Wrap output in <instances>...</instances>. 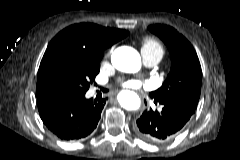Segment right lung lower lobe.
Here are the masks:
<instances>
[{
	"label": "right lung lower lobe",
	"instance_id": "right-lung-lower-lobe-1",
	"mask_svg": "<svg viewBox=\"0 0 240 160\" xmlns=\"http://www.w3.org/2000/svg\"><path fill=\"white\" fill-rule=\"evenodd\" d=\"M105 103V99H86L85 95H51L37 102L43 123L59 139L65 141H76L91 134L98 124Z\"/></svg>",
	"mask_w": 240,
	"mask_h": 160
}]
</instances>
